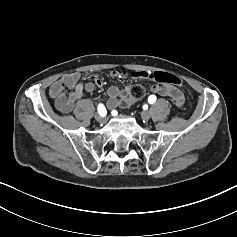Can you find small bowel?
I'll use <instances>...</instances> for the list:
<instances>
[{
  "instance_id": "c3829d8e",
  "label": "small bowel",
  "mask_w": 237,
  "mask_h": 237,
  "mask_svg": "<svg viewBox=\"0 0 237 237\" xmlns=\"http://www.w3.org/2000/svg\"><path fill=\"white\" fill-rule=\"evenodd\" d=\"M150 72L141 71L132 73L134 78H149ZM110 76L112 78H125L128 76L125 72H119L116 70L111 71ZM103 86V80L99 77H95L91 80L83 81L81 74L78 72L69 73L64 75L61 79L54 82L49 88L50 97L54 100L56 108L62 113L75 112L79 117L83 118L87 115L91 109V102L84 100L83 96L85 92H92L97 87ZM72 89L71 92H68ZM151 91L162 96L171 98L176 107H182L184 103L183 94L174 86L162 83H156L151 87ZM108 100L106 106L109 109H114L119 104L120 90L116 86L108 88Z\"/></svg>"
}]
</instances>
